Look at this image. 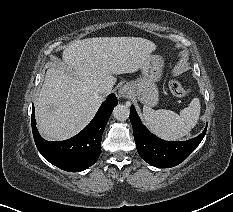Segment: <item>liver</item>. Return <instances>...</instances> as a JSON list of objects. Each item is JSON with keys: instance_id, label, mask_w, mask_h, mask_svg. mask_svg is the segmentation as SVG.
Returning <instances> with one entry per match:
<instances>
[{"instance_id": "1", "label": "liver", "mask_w": 233, "mask_h": 212, "mask_svg": "<svg viewBox=\"0 0 233 212\" xmlns=\"http://www.w3.org/2000/svg\"><path fill=\"white\" fill-rule=\"evenodd\" d=\"M156 49L140 37H96L75 40L63 51V61L75 70L68 74L55 65L46 72L35 103L37 127L47 140L62 141L76 135L93 118L116 75L135 73Z\"/></svg>"}]
</instances>
